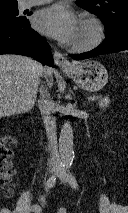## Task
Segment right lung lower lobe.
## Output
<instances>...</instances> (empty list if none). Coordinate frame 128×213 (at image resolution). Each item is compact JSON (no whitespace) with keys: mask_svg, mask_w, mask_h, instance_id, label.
Segmentation results:
<instances>
[{"mask_svg":"<svg viewBox=\"0 0 128 213\" xmlns=\"http://www.w3.org/2000/svg\"><path fill=\"white\" fill-rule=\"evenodd\" d=\"M20 54L53 66V57L47 42L26 21L17 24L0 22V55Z\"/></svg>","mask_w":128,"mask_h":213,"instance_id":"1","label":"right lung lower lobe"}]
</instances>
